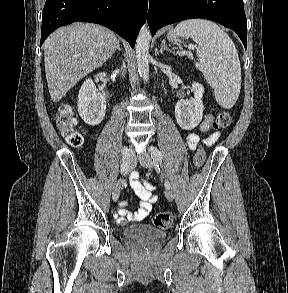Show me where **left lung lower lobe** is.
Returning a JSON list of instances; mask_svg holds the SVG:
<instances>
[{
    "instance_id": "obj_1",
    "label": "left lung lower lobe",
    "mask_w": 288,
    "mask_h": 293,
    "mask_svg": "<svg viewBox=\"0 0 288 293\" xmlns=\"http://www.w3.org/2000/svg\"><path fill=\"white\" fill-rule=\"evenodd\" d=\"M203 18L234 30L246 48L247 24L243 0H150L148 24L151 34L165 25Z\"/></svg>"
}]
</instances>
